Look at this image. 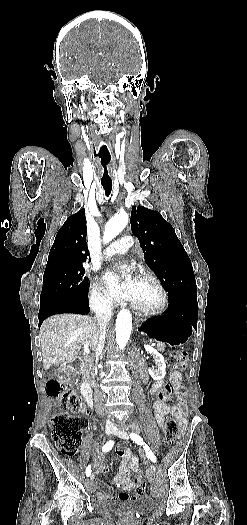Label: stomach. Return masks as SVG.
Instances as JSON below:
<instances>
[{
    "mask_svg": "<svg viewBox=\"0 0 247 525\" xmlns=\"http://www.w3.org/2000/svg\"><path fill=\"white\" fill-rule=\"evenodd\" d=\"M139 330L148 338L170 346H181L192 334V329L185 322L160 316L142 320Z\"/></svg>",
    "mask_w": 247,
    "mask_h": 525,
    "instance_id": "1",
    "label": "stomach"
}]
</instances>
